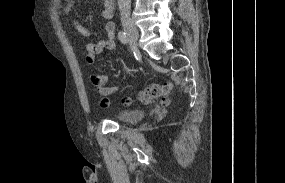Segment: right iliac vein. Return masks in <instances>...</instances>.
Wrapping results in <instances>:
<instances>
[{"label":"right iliac vein","instance_id":"obj_1","mask_svg":"<svg viewBox=\"0 0 285 183\" xmlns=\"http://www.w3.org/2000/svg\"><path fill=\"white\" fill-rule=\"evenodd\" d=\"M122 25L124 30L126 31L127 35L130 37L131 41L133 42V45L137 46V40L139 37L138 30L134 23L129 19L125 18L122 20Z\"/></svg>","mask_w":285,"mask_h":183}]
</instances>
